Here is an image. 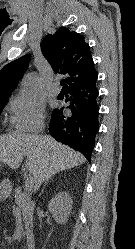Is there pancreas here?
<instances>
[{
  "mask_svg": "<svg viewBox=\"0 0 135 249\" xmlns=\"http://www.w3.org/2000/svg\"><path fill=\"white\" fill-rule=\"evenodd\" d=\"M15 203L17 209L22 212V215L26 219V223H30L33 216V203L28 196L21 191L20 188L15 189Z\"/></svg>",
  "mask_w": 135,
  "mask_h": 249,
  "instance_id": "1",
  "label": "pancreas"
}]
</instances>
